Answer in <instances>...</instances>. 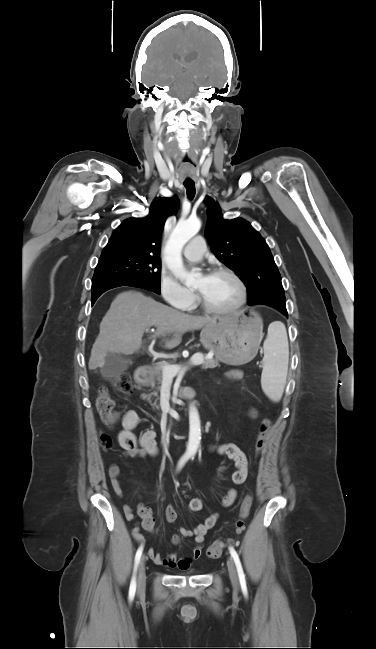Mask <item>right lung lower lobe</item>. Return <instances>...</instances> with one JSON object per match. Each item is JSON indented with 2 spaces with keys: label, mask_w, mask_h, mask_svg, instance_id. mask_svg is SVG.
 <instances>
[{
  "label": "right lung lower lobe",
  "mask_w": 376,
  "mask_h": 649,
  "mask_svg": "<svg viewBox=\"0 0 376 649\" xmlns=\"http://www.w3.org/2000/svg\"><path fill=\"white\" fill-rule=\"evenodd\" d=\"M119 286H132V287H138V288H143L149 291L155 292L150 286L142 284V283H118V282H106L103 284H100L96 287H92V305L95 303L97 298L104 293L105 291L119 287Z\"/></svg>",
  "instance_id": "98d812e1"
}]
</instances>
